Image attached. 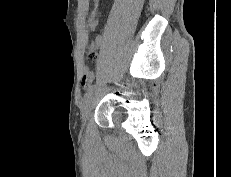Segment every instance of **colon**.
<instances>
[{
	"label": "colon",
	"instance_id": "colon-1",
	"mask_svg": "<svg viewBox=\"0 0 231 177\" xmlns=\"http://www.w3.org/2000/svg\"><path fill=\"white\" fill-rule=\"evenodd\" d=\"M88 59L94 61L96 59V53L93 50H90L88 53Z\"/></svg>",
	"mask_w": 231,
	"mask_h": 177
}]
</instances>
